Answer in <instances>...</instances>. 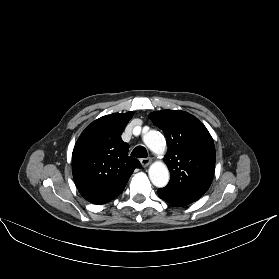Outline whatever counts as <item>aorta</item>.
I'll return each mask as SVG.
<instances>
[{"label":"aorta","instance_id":"762f6f07","mask_svg":"<svg viewBox=\"0 0 279 279\" xmlns=\"http://www.w3.org/2000/svg\"><path fill=\"white\" fill-rule=\"evenodd\" d=\"M145 145L155 154H162L166 148L163 135L155 130H150L143 135ZM149 178L158 188L165 187L169 181V170L162 162H155L149 168Z\"/></svg>","mask_w":279,"mask_h":279}]
</instances>
